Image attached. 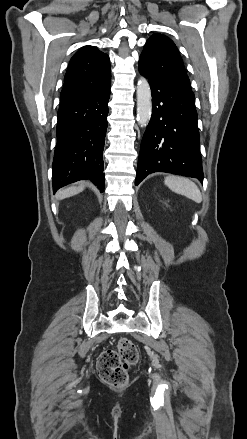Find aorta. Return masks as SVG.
Listing matches in <instances>:
<instances>
[{
  "label": "aorta",
  "instance_id": "1",
  "mask_svg": "<svg viewBox=\"0 0 247 439\" xmlns=\"http://www.w3.org/2000/svg\"><path fill=\"white\" fill-rule=\"evenodd\" d=\"M137 120L141 127L148 125L152 114V96L146 78L141 77L137 83Z\"/></svg>",
  "mask_w": 247,
  "mask_h": 439
}]
</instances>
